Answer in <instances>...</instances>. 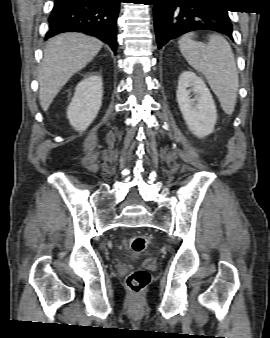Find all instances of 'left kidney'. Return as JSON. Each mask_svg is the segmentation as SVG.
Returning a JSON list of instances; mask_svg holds the SVG:
<instances>
[{"label":"left kidney","mask_w":270,"mask_h":338,"mask_svg":"<svg viewBox=\"0 0 270 338\" xmlns=\"http://www.w3.org/2000/svg\"><path fill=\"white\" fill-rule=\"evenodd\" d=\"M191 92L194 98H191ZM177 102L189 130L198 138L211 134L217 120L212 95L204 81L191 71H184L178 79Z\"/></svg>","instance_id":"1"}]
</instances>
